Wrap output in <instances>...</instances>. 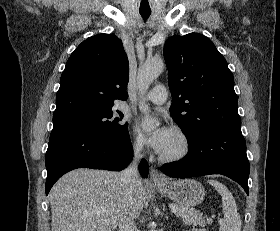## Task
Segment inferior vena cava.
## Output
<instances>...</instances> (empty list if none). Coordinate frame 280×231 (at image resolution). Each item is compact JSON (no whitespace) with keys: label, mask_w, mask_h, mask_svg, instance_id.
Listing matches in <instances>:
<instances>
[{"label":"inferior vena cava","mask_w":280,"mask_h":231,"mask_svg":"<svg viewBox=\"0 0 280 231\" xmlns=\"http://www.w3.org/2000/svg\"><path fill=\"white\" fill-rule=\"evenodd\" d=\"M141 149H142L141 143H135L134 145L135 157L132 163H130L129 167H126L124 171H121L120 181L122 187H128V185H130V183H134V181L135 183H139L140 179L138 175L137 165L141 157V153H140ZM118 231H138L134 223L133 217H128V215H124V217H122V219H120L119 221Z\"/></svg>","instance_id":"602c4592"}]
</instances>
